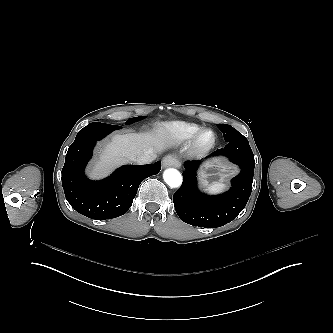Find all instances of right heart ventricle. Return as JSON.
<instances>
[{
	"label": "right heart ventricle",
	"mask_w": 333,
	"mask_h": 333,
	"mask_svg": "<svg viewBox=\"0 0 333 333\" xmlns=\"http://www.w3.org/2000/svg\"><path fill=\"white\" fill-rule=\"evenodd\" d=\"M198 130V124L188 122H174L167 127L170 137L178 143L190 140Z\"/></svg>",
	"instance_id": "1"
}]
</instances>
